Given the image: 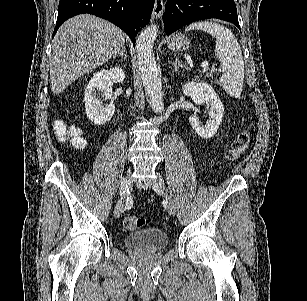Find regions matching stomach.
<instances>
[{
	"label": "stomach",
	"mask_w": 307,
	"mask_h": 301,
	"mask_svg": "<svg viewBox=\"0 0 307 301\" xmlns=\"http://www.w3.org/2000/svg\"><path fill=\"white\" fill-rule=\"evenodd\" d=\"M191 40L186 38L185 34H181V32H176L174 36H171L168 46L171 50H184V48H188L190 46Z\"/></svg>",
	"instance_id": "stomach-1"
}]
</instances>
